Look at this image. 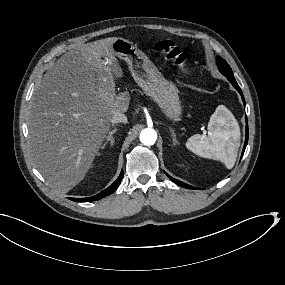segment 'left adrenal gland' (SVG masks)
<instances>
[{"instance_id":"left-adrenal-gland-1","label":"left adrenal gland","mask_w":285,"mask_h":285,"mask_svg":"<svg viewBox=\"0 0 285 285\" xmlns=\"http://www.w3.org/2000/svg\"><path fill=\"white\" fill-rule=\"evenodd\" d=\"M169 130L171 131V136H172L173 144H174V145L179 144V142H178L177 139H176V134H175L174 130H173L171 127H169Z\"/></svg>"}]
</instances>
